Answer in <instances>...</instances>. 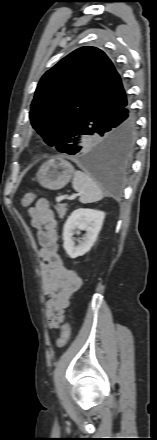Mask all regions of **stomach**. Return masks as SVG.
Masks as SVG:
<instances>
[{
  "instance_id": "0dacf381",
  "label": "stomach",
  "mask_w": 157,
  "mask_h": 440,
  "mask_svg": "<svg viewBox=\"0 0 157 440\" xmlns=\"http://www.w3.org/2000/svg\"><path fill=\"white\" fill-rule=\"evenodd\" d=\"M74 173L71 163L62 158H52L40 166L36 179L42 187L58 190L69 183Z\"/></svg>"
}]
</instances>
